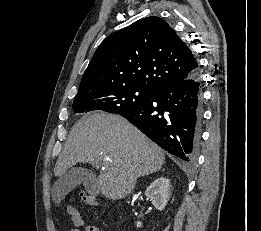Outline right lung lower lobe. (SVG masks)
<instances>
[{"label":"right lung lower lobe","instance_id":"obj_1","mask_svg":"<svg viewBox=\"0 0 261 231\" xmlns=\"http://www.w3.org/2000/svg\"><path fill=\"white\" fill-rule=\"evenodd\" d=\"M202 95L198 71L155 90L142 107L121 114L169 153L194 161L200 140Z\"/></svg>","mask_w":261,"mask_h":231}]
</instances>
